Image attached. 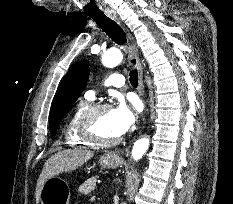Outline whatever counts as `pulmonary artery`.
<instances>
[{"label": "pulmonary artery", "mask_w": 233, "mask_h": 204, "mask_svg": "<svg viewBox=\"0 0 233 204\" xmlns=\"http://www.w3.org/2000/svg\"><path fill=\"white\" fill-rule=\"evenodd\" d=\"M107 84L108 85H111L113 87H117V88H120V87H123L124 84H125V78L123 75L121 74H111L108 79H107ZM86 97L88 99H91L93 100L95 98V93L94 91L90 90L86 93Z\"/></svg>", "instance_id": "pulmonary-artery-1"}]
</instances>
